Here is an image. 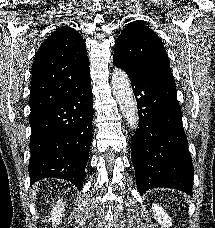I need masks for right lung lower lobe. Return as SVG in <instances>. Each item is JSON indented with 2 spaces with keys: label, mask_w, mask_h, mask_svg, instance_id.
<instances>
[{
  "label": "right lung lower lobe",
  "mask_w": 215,
  "mask_h": 228,
  "mask_svg": "<svg viewBox=\"0 0 215 228\" xmlns=\"http://www.w3.org/2000/svg\"><path fill=\"white\" fill-rule=\"evenodd\" d=\"M68 88L64 98L29 118L31 185L48 177L70 181L79 190L83 185L94 111L90 75Z\"/></svg>",
  "instance_id": "1"
}]
</instances>
